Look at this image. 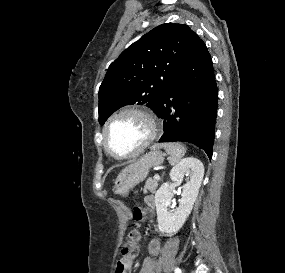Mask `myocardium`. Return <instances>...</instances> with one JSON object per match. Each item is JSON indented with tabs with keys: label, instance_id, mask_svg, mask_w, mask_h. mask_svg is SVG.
I'll return each instance as SVG.
<instances>
[{
	"label": "myocardium",
	"instance_id": "1",
	"mask_svg": "<svg viewBox=\"0 0 285 273\" xmlns=\"http://www.w3.org/2000/svg\"><path fill=\"white\" fill-rule=\"evenodd\" d=\"M126 114H135L139 117L143 118L148 125L149 132L145 140L132 152L127 154H117L115 153L109 146L107 142V133L110 125L114 120L117 118L126 115ZM160 132V122L157 116L148 108L140 107V106H129L120 109L116 113H114L105 123L103 130H102V142L104 149L113 157L118 159H127L133 156H136L140 152H142L146 147H148L157 137Z\"/></svg>",
	"mask_w": 285,
	"mask_h": 273
}]
</instances>
